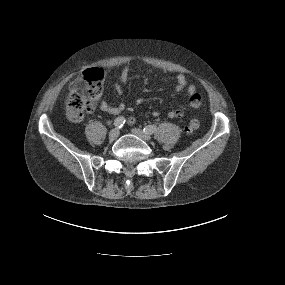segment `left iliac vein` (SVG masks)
Listing matches in <instances>:
<instances>
[{
    "instance_id": "4c4485c4",
    "label": "left iliac vein",
    "mask_w": 285,
    "mask_h": 285,
    "mask_svg": "<svg viewBox=\"0 0 285 285\" xmlns=\"http://www.w3.org/2000/svg\"><path fill=\"white\" fill-rule=\"evenodd\" d=\"M132 133L145 141L151 140V137L148 134H146L144 131H142L141 129L134 128L132 129Z\"/></svg>"
}]
</instances>
